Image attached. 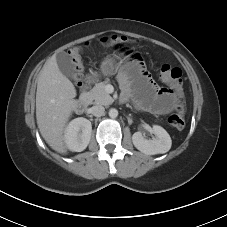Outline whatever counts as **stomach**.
<instances>
[{"label":"stomach","mask_w":227,"mask_h":227,"mask_svg":"<svg viewBox=\"0 0 227 227\" xmlns=\"http://www.w3.org/2000/svg\"><path fill=\"white\" fill-rule=\"evenodd\" d=\"M119 57H106L101 63V73L104 76H111L114 74L113 68L117 65L116 59Z\"/></svg>","instance_id":"obj_1"}]
</instances>
